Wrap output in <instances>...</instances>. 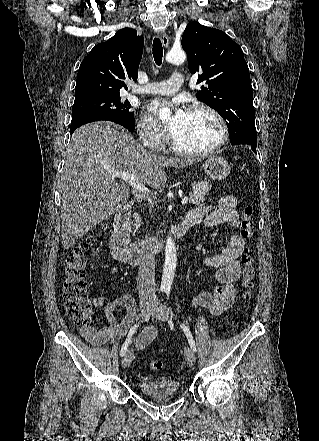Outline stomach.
I'll return each instance as SVG.
<instances>
[{"mask_svg":"<svg viewBox=\"0 0 319 441\" xmlns=\"http://www.w3.org/2000/svg\"><path fill=\"white\" fill-rule=\"evenodd\" d=\"M203 167L211 179L221 180L230 173L229 163L221 157H210L204 162Z\"/></svg>","mask_w":319,"mask_h":441,"instance_id":"stomach-1","label":"stomach"}]
</instances>
